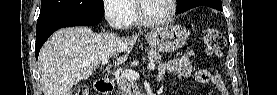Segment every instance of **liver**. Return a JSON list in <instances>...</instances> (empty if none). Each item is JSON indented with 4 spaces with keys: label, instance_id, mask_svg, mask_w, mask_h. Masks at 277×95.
Returning a JSON list of instances; mask_svg holds the SVG:
<instances>
[{
    "label": "liver",
    "instance_id": "liver-1",
    "mask_svg": "<svg viewBox=\"0 0 277 95\" xmlns=\"http://www.w3.org/2000/svg\"><path fill=\"white\" fill-rule=\"evenodd\" d=\"M138 35L121 38L112 33H94L78 26L56 31L39 53L44 95H67L79 81L88 79L103 59L116 53L115 65L127 60Z\"/></svg>",
    "mask_w": 277,
    "mask_h": 95
}]
</instances>
